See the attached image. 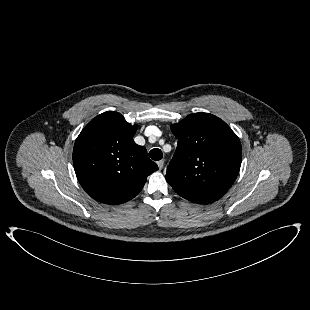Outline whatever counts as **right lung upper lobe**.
<instances>
[{"label": "right lung upper lobe", "mask_w": 310, "mask_h": 310, "mask_svg": "<svg viewBox=\"0 0 310 310\" xmlns=\"http://www.w3.org/2000/svg\"><path fill=\"white\" fill-rule=\"evenodd\" d=\"M132 126L118 112L107 111L92 119L77 137L73 164L83 189L96 201L122 204L143 188L147 176L158 170L137 145Z\"/></svg>", "instance_id": "right-lung-upper-lobe-1"}]
</instances>
